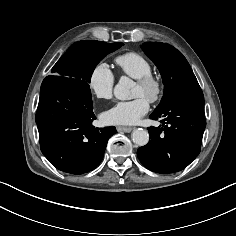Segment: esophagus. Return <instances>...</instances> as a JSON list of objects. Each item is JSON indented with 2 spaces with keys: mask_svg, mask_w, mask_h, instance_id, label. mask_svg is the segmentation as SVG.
I'll list each match as a JSON object with an SVG mask.
<instances>
[{
  "mask_svg": "<svg viewBox=\"0 0 236 236\" xmlns=\"http://www.w3.org/2000/svg\"><path fill=\"white\" fill-rule=\"evenodd\" d=\"M133 128L131 127H122V126H118L117 127V131L118 132H126V133H129L132 131Z\"/></svg>",
  "mask_w": 236,
  "mask_h": 236,
  "instance_id": "obj_1",
  "label": "esophagus"
}]
</instances>
